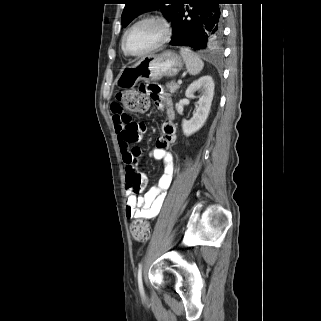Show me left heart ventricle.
<instances>
[{
	"label": "left heart ventricle",
	"instance_id": "b2bd125f",
	"mask_svg": "<svg viewBox=\"0 0 321 321\" xmlns=\"http://www.w3.org/2000/svg\"><path fill=\"white\" fill-rule=\"evenodd\" d=\"M160 26L155 22H144L130 31L126 45L130 52L139 53L154 45L161 37Z\"/></svg>",
	"mask_w": 321,
	"mask_h": 321
}]
</instances>
